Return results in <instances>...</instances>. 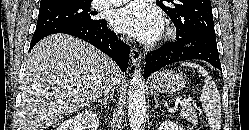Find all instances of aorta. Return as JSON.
Masks as SVG:
<instances>
[{"label":"aorta","mask_w":249,"mask_h":130,"mask_svg":"<svg viewBox=\"0 0 249 130\" xmlns=\"http://www.w3.org/2000/svg\"><path fill=\"white\" fill-rule=\"evenodd\" d=\"M146 112L144 80L141 69L132 75L128 92L129 125L133 130H141Z\"/></svg>","instance_id":"aorta-1"}]
</instances>
